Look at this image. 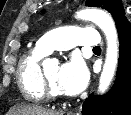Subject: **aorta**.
<instances>
[{
	"mask_svg": "<svg viewBox=\"0 0 131 115\" xmlns=\"http://www.w3.org/2000/svg\"><path fill=\"white\" fill-rule=\"evenodd\" d=\"M76 17L79 19H88L93 21L101 28L107 39L106 59L101 72L98 91L104 93L116 71L118 62V36L113 19L106 12L99 9H84L77 12Z\"/></svg>",
	"mask_w": 131,
	"mask_h": 115,
	"instance_id": "aorta-1",
	"label": "aorta"
}]
</instances>
